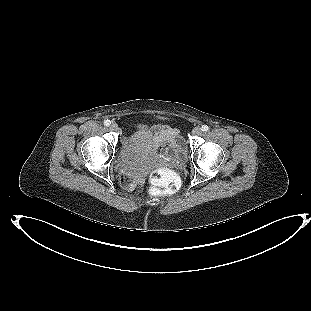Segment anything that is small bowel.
Masks as SVG:
<instances>
[{"label":"small bowel","mask_w":311,"mask_h":311,"mask_svg":"<svg viewBox=\"0 0 311 311\" xmlns=\"http://www.w3.org/2000/svg\"><path fill=\"white\" fill-rule=\"evenodd\" d=\"M140 131L144 132L147 137H153L154 143L162 144L171 143L176 134L170 127L166 125H155L149 129L143 127ZM178 152L183 154V150L180 145H178ZM125 176L127 177V175Z\"/></svg>","instance_id":"small-bowel-1"}]
</instances>
